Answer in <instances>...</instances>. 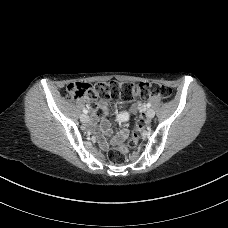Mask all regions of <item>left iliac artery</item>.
Listing matches in <instances>:
<instances>
[{"mask_svg": "<svg viewBox=\"0 0 228 228\" xmlns=\"http://www.w3.org/2000/svg\"><path fill=\"white\" fill-rule=\"evenodd\" d=\"M146 106H147V108H150L151 107V104L150 103H147Z\"/></svg>", "mask_w": 228, "mask_h": 228, "instance_id": "44dca946", "label": "left iliac artery"}]
</instances>
